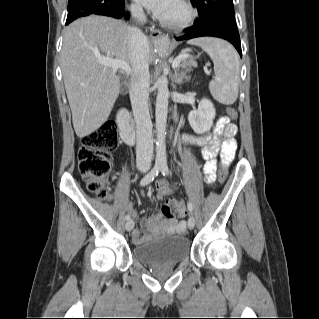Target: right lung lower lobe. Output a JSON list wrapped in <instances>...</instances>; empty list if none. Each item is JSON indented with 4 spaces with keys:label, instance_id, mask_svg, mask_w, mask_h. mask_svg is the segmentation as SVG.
<instances>
[{
    "label": "right lung lower lobe",
    "instance_id": "1",
    "mask_svg": "<svg viewBox=\"0 0 319 319\" xmlns=\"http://www.w3.org/2000/svg\"><path fill=\"white\" fill-rule=\"evenodd\" d=\"M95 15H104V16H110L117 19H120L122 17H125L126 19L129 18L128 12L125 11V1L123 0L119 4L113 6L111 9L106 11H100L95 13Z\"/></svg>",
    "mask_w": 319,
    "mask_h": 319
}]
</instances>
